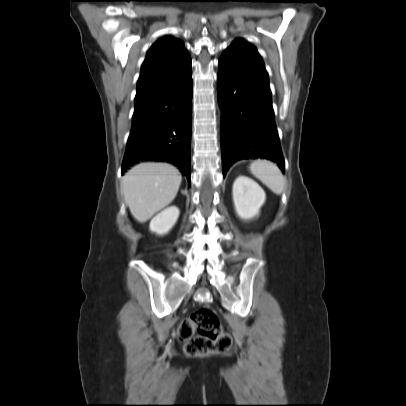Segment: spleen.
<instances>
[{"instance_id":"obj_1","label":"spleen","mask_w":406,"mask_h":406,"mask_svg":"<svg viewBox=\"0 0 406 406\" xmlns=\"http://www.w3.org/2000/svg\"><path fill=\"white\" fill-rule=\"evenodd\" d=\"M249 169L275 194L283 192L286 181L276 164L266 160H257L250 164Z\"/></svg>"}]
</instances>
